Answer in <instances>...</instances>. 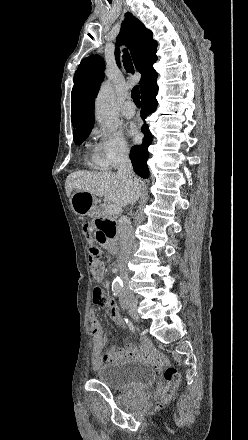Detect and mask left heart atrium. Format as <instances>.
Returning a JSON list of instances; mask_svg holds the SVG:
<instances>
[{"label": "left heart atrium", "instance_id": "39dd6f15", "mask_svg": "<svg viewBox=\"0 0 248 440\" xmlns=\"http://www.w3.org/2000/svg\"><path fill=\"white\" fill-rule=\"evenodd\" d=\"M130 135L133 137L134 140H138L139 139V134H138L137 130L134 127H132L130 129Z\"/></svg>", "mask_w": 248, "mask_h": 440}]
</instances>
